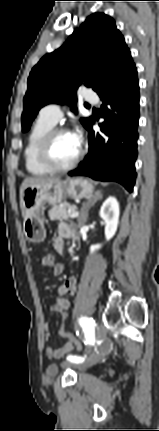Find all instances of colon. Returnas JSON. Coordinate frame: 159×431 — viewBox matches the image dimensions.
<instances>
[{
	"label": "colon",
	"instance_id": "obj_1",
	"mask_svg": "<svg viewBox=\"0 0 159 431\" xmlns=\"http://www.w3.org/2000/svg\"><path fill=\"white\" fill-rule=\"evenodd\" d=\"M45 259H46V268L48 269L49 272H54L55 271V258H54V254L51 252H47L45 254ZM69 318V315L67 314L66 310H62V314H61V325H59V330H58V336L60 338H66L70 341V343H72L73 346H75L76 351L75 354L79 355L81 353L82 350V346L83 343L82 341H80L77 338V335L71 330V329H64V323H66L67 319Z\"/></svg>",
	"mask_w": 159,
	"mask_h": 431
}]
</instances>
